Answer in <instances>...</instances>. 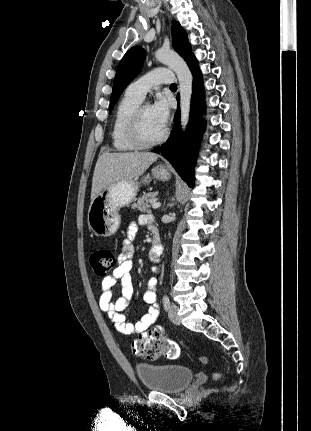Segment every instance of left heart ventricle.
Listing matches in <instances>:
<instances>
[{
  "label": "left heart ventricle",
  "instance_id": "1",
  "mask_svg": "<svg viewBox=\"0 0 311 431\" xmlns=\"http://www.w3.org/2000/svg\"><path fill=\"white\" fill-rule=\"evenodd\" d=\"M164 130L165 128L155 120L151 107L146 105L143 116V132L145 138L148 140H155L162 135Z\"/></svg>",
  "mask_w": 311,
  "mask_h": 431
}]
</instances>
